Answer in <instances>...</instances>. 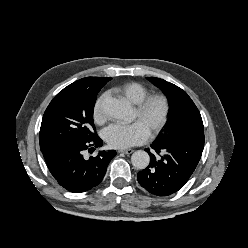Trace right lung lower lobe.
Returning a JSON list of instances; mask_svg holds the SVG:
<instances>
[{"instance_id":"obj_1","label":"right lung lower lobe","mask_w":248,"mask_h":248,"mask_svg":"<svg viewBox=\"0 0 248 248\" xmlns=\"http://www.w3.org/2000/svg\"><path fill=\"white\" fill-rule=\"evenodd\" d=\"M102 146L96 135L92 139H72L42 152L50 173L57 182L73 193L88 191L104 178L107 166L116 155L115 150L99 151L96 157L85 159V150Z\"/></svg>"}]
</instances>
